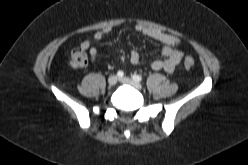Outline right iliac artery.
Masks as SVG:
<instances>
[{
  "label": "right iliac artery",
  "instance_id": "obj_1",
  "mask_svg": "<svg viewBox=\"0 0 248 165\" xmlns=\"http://www.w3.org/2000/svg\"><path fill=\"white\" fill-rule=\"evenodd\" d=\"M117 76H118L119 78H122V77L124 76L123 71H118V72H117Z\"/></svg>",
  "mask_w": 248,
  "mask_h": 165
}]
</instances>
